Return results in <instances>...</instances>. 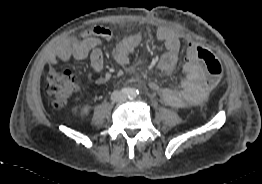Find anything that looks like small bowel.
Instances as JSON below:
<instances>
[{"label": "small bowel", "instance_id": "1", "mask_svg": "<svg viewBox=\"0 0 262 184\" xmlns=\"http://www.w3.org/2000/svg\"><path fill=\"white\" fill-rule=\"evenodd\" d=\"M114 37L115 34L111 29L100 25L94 26L85 30L81 39L60 42L47 58V64L52 68L59 61L89 58L93 70L100 72L104 68V57L100 49L102 41L112 40ZM157 38L165 47V52L158 62V69L163 75L169 76L178 66L181 36L176 30L165 27L158 30ZM141 42V34L123 37L116 42L113 49L114 60L122 66L128 64L130 54ZM184 51L182 57L184 64L181 68L183 80L179 88H161L156 83L149 84L151 90L158 93L165 103L174 107L199 104L206 99L209 91V86L204 82L207 71L197 58L194 46L188 44ZM105 82L103 77L96 80L98 85H103Z\"/></svg>", "mask_w": 262, "mask_h": 184}]
</instances>
